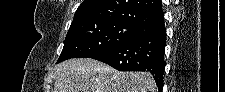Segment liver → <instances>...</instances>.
<instances>
[{"label": "liver", "instance_id": "liver-1", "mask_svg": "<svg viewBox=\"0 0 225 92\" xmlns=\"http://www.w3.org/2000/svg\"><path fill=\"white\" fill-rule=\"evenodd\" d=\"M54 92H157L149 72H120L91 58L56 66Z\"/></svg>", "mask_w": 225, "mask_h": 92}]
</instances>
